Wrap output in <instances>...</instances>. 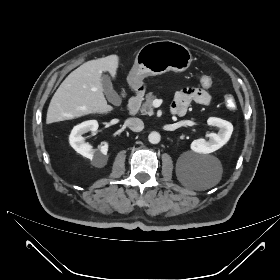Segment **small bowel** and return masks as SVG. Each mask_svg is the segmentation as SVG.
Listing matches in <instances>:
<instances>
[{
    "mask_svg": "<svg viewBox=\"0 0 280 280\" xmlns=\"http://www.w3.org/2000/svg\"><path fill=\"white\" fill-rule=\"evenodd\" d=\"M211 101L212 95L209 92V88H190L176 94L172 103V108L176 109L179 115H183L186 113L190 104L209 105Z\"/></svg>",
    "mask_w": 280,
    "mask_h": 280,
    "instance_id": "c3829d8e",
    "label": "small bowel"
}]
</instances>
